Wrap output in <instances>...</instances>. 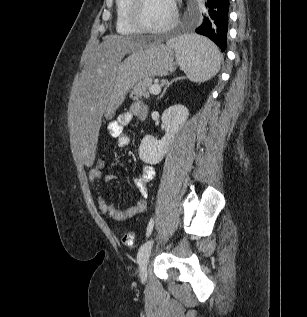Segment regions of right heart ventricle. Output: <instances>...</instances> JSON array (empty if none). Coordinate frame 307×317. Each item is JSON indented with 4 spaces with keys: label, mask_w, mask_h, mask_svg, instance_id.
I'll use <instances>...</instances> for the list:
<instances>
[{
    "label": "right heart ventricle",
    "mask_w": 307,
    "mask_h": 317,
    "mask_svg": "<svg viewBox=\"0 0 307 317\" xmlns=\"http://www.w3.org/2000/svg\"><path fill=\"white\" fill-rule=\"evenodd\" d=\"M130 0H115V27L116 31L120 35H133L136 34L135 31L127 17V7Z\"/></svg>",
    "instance_id": "e07e8e85"
}]
</instances>
